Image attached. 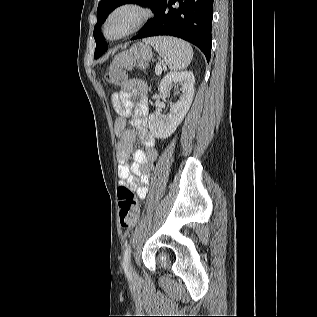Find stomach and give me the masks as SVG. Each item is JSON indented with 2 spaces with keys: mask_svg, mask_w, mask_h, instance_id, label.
Returning a JSON list of instances; mask_svg holds the SVG:
<instances>
[{
  "mask_svg": "<svg viewBox=\"0 0 317 317\" xmlns=\"http://www.w3.org/2000/svg\"><path fill=\"white\" fill-rule=\"evenodd\" d=\"M116 57H124L125 63L123 65L127 67L134 65L137 61H149L152 58V51L147 44L137 43Z\"/></svg>",
  "mask_w": 317,
  "mask_h": 317,
  "instance_id": "stomach-1",
  "label": "stomach"
}]
</instances>
